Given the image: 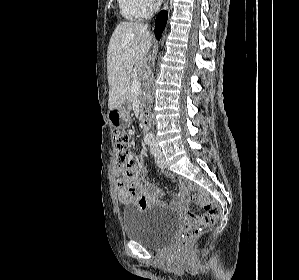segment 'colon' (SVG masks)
I'll use <instances>...</instances> for the list:
<instances>
[{"mask_svg":"<svg viewBox=\"0 0 299 280\" xmlns=\"http://www.w3.org/2000/svg\"><path fill=\"white\" fill-rule=\"evenodd\" d=\"M113 138L118 167L126 168L132 163V155L128 150L129 135L125 130L115 129ZM191 199L195 203L203 206L206 211L202 215H193L190 213L184 215L181 234L183 243H187L198 235L204 227L213 224L219 216L218 207L209 198L201 194H195L191 196Z\"/></svg>","mask_w":299,"mask_h":280,"instance_id":"colon-1","label":"colon"}]
</instances>
